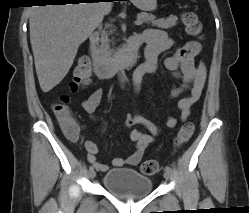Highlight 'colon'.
I'll return each instance as SVG.
<instances>
[{
    "label": "colon",
    "instance_id": "1",
    "mask_svg": "<svg viewBox=\"0 0 249 213\" xmlns=\"http://www.w3.org/2000/svg\"><path fill=\"white\" fill-rule=\"evenodd\" d=\"M182 22L188 34L197 36L201 32V24L195 13L191 11H185L182 14ZM91 69L85 58H81L73 73V80L71 81L69 88L72 93H76L83 89L90 83ZM70 96L67 94L61 95L59 102L52 105V109L59 120V122H65L71 124V113L69 110ZM194 132V124L186 123L179 129L175 143L181 145L187 142ZM158 163L155 160H146L141 165V172L145 175H154L158 171Z\"/></svg>",
    "mask_w": 249,
    "mask_h": 213
}]
</instances>
